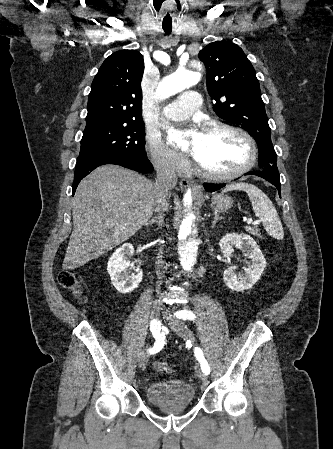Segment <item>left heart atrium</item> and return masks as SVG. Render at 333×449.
<instances>
[{"mask_svg": "<svg viewBox=\"0 0 333 449\" xmlns=\"http://www.w3.org/2000/svg\"><path fill=\"white\" fill-rule=\"evenodd\" d=\"M203 133L198 131L195 128H191L187 131H179L170 134V141L173 143H179L184 138H187L189 141V151L192 156H195V153L200 145Z\"/></svg>", "mask_w": 333, "mask_h": 449, "instance_id": "39dd6f15", "label": "left heart atrium"}]
</instances>
